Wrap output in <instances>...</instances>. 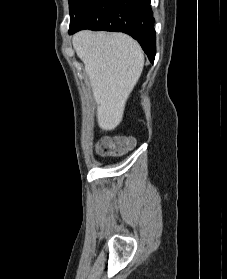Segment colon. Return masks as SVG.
Listing matches in <instances>:
<instances>
[{
	"mask_svg": "<svg viewBox=\"0 0 227 279\" xmlns=\"http://www.w3.org/2000/svg\"><path fill=\"white\" fill-rule=\"evenodd\" d=\"M134 145V139L122 141L101 140L95 147V152L99 156H120L125 154Z\"/></svg>",
	"mask_w": 227,
	"mask_h": 279,
	"instance_id": "colon-1",
	"label": "colon"
}]
</instances>
